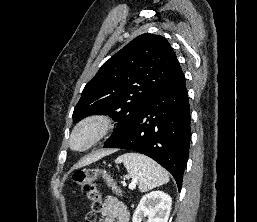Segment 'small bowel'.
I'll list each match as a JSON object with an SVG mask.
<instances>
[{
	"mask_svg": "<svg viewBox=\"0 0 257 222\" xmlns=\"http://www.w3.org/2000/svg\"><path fill=\"white\" fill-rule=\"evenodd\" d=\"M102 222H129L130 213L127 207L113 196L104 199L101 210Z\"/></svg>",
	"mask_w": 257,
	"mask_h": 222,
	"instance_id": "c3829d8e",
	"label": "small bowel"
}]
</instances>
